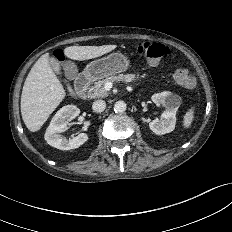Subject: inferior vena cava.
<instances>
[{
  "label": "inferior vena cava",
  "mask_w": 232,
  "mask_h": 232,
  "mask_svg": "<svg viewBox=\"0 0 232 232\" xmlns=\"http://www.w3.org/2000/svg\"><path fill=\"white\" fill-rule=\"evenodd\" d=\"M92 108L95 112L101 113L106 108V103L103 100H96L93 102Z\"/></svg>",
  "instance_id": "inferior-vena-cava-1"
}]
</instances>
